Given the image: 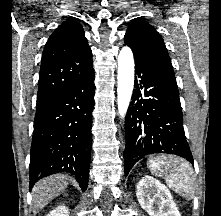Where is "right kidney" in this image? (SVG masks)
<instances>
[{"instance_id": "1", "label": "right kidney", "mask_w": 221, "mask_h": 216, "mask_svg": "<svg viewBox=\"0 0 221 216\" xmlns=\"http://www.w3.org/2000/svg\"><path fill=\"white\" fill-rule=\"evenodd\" d=\"M47 216H69V209L65 206H58L56 209L50 211Z\"/></svg>"}]
</instances>
